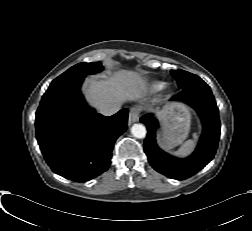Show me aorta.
I'll list each match as a JSON object with an SVG mask.
<instances>
[{"instance_id":"1","label":"aorta","mask_w":252,"mask_h":231,"mask_svg":"<svg viewBox=\"0 0 252 231\" xmlns=\"http://www.w3.org/2000/svg\"><path fill=\"white\" fill-rule=\"evenodd\" d=\"M147 130L144 125L142 124H134L131 127V134L139 139L145 138L146 137Z\"/></svg>"}]
</instances>
